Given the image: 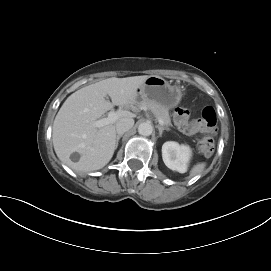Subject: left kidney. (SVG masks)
I'll return each instance as SVG.
<instances>
[{
    "label": "left kidney",
    "instance_id": "left-kidney-1",
    "mask_svg": "<svg viewBox=\"0 0 271 271\" xmlns=\"http://www.w3.org/2000/svg\"><path fill=\"white\" fill-rule=\"evenodd\" d=\"M192 151L187 145H180L174 141H167L162 146V158L165 165L179 173H185L191 159Z\"/></svg>",
    "mask_w": 271,
    "mask_h": 271
}]
</instances>
